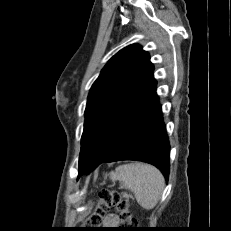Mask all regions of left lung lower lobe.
<instances>
[{
  "label": "left lung lower lobe",
  "mask_w": 231,
  "mask_h": 231,
  "mask_svg": "<svg viewBox=\"0 0 231 231\" xmlns=\"http://www.w3.org/2000/svg\"><path fill=\"white\" fill-rule=\"evenodd\" d=\"M169 148L152 72L108 124L87 161L79 167L78 177L104 162L136 160L156 166L167 180Z\"/></svg>",
  "instance_id": "1"
}]
</instances>
